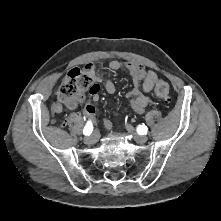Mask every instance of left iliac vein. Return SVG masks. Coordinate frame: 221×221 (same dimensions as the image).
Here are the masks:
<instances>
[{
  "label": "left iliac vein",
  "mask_w": 221,
  "mask_h": 221,
  "mask_svg": "<svg viewBox=\"0 0 221 221\" xmlns=\"http://www.w3.org/2000/svg\"><path fill=\"white\" fill-rule=\"evenodd\" d=\"M125 127L137 143L144 144L148 140L146 136L138 134L131 125H126Z\"/></svg>",
  "instance_id": "1"
}]
</instances>
